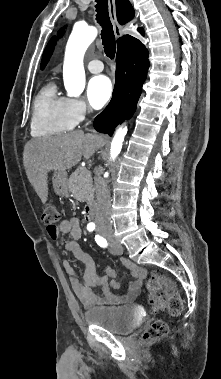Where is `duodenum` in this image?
I'll list each match as a JSON object with an SVG mask.
<instances>
[{"label": "duodenum", "instance_id": "410a0bca", "mask_svg": "<svg viewBox=\"0 0 221 379\" xmlns=\"http://www.w3.org/2000/svg\"><path fill=\"white\" fill-rule=\"evenodd\" d=\"M97 214V205L96 203H91L85 210L84 218L86 221H93Z\"/></svg>", "mask_w": 221, "mask_h": 379}]
</instances>
